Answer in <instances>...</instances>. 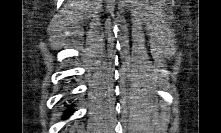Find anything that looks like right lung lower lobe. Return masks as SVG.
<instances>
[{"instance_id": "obj_1", "label": "right lung lower lobe", "mask_w": 221, "mask_h": 133, "mask_svg": "<svg viewBox=\"0 0 221 133\" xmlns=\"http://www.w3.org/2000/svg\"><path fill=\"white\" fill-rule=\"evenodd\" d=\"M69 113H70V109L65 112L66 115H68Z\"/></svg>"}]
</instances>
